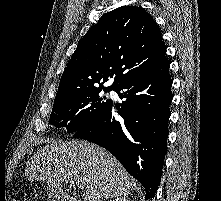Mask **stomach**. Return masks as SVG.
I'll return each instance as SVG.
<instances>
[{
	"instance_id": "stomach-1",
	"label": "stomach",
	"mask_w": 221,
	"mask_h": 201,
	"mask_svg": "<svg viewBox=\"0 0 221 201\" xmlns=\"http://www.w3.org/2000/svg\"><path fill=\"white\" fill-rule=\"evenodd\" d=\"M48 193H49L50 196L54 195V192H52L50 189H48Z\"/></svg>"
}]
</instances>
